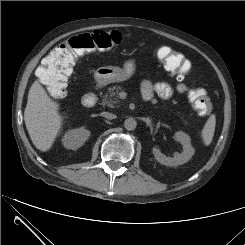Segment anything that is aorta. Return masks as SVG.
<instances>
[{
    "label": "aorta",
    "mask_w": 245,
    "mask_h": 245,
    "mask_svg": "<svg viewBox=\"0 0 245 245\" xmlns=\"http://www.w3.org/2000/svg\"><path fill=\"white\" fill-rule=\"evenodd\" d=\"M137 122L134 118H128L124 122V127L128 131H132L136 128Z\"/></svg>",
    "instance_id": "obj_1"
}]
</instances>
